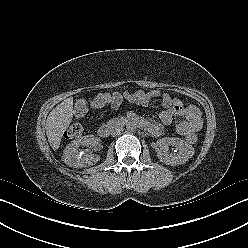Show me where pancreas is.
<instances>
[{
  "mask_svg": "<svg viewBox=\"0 0 248 248\" xmlns=\"http://www.w3.org/2000/svg\"><path fill=\"white\" fill-rule=\"evenodd\" d=\"M123 120V117H120V118H113L111 120H109L108 122V125H112V124H115V123H119L120 121Z\"/></svg>",
  "mask_w": 248,
  "mask_h": 248,
  "instance_id": "1",
  "label": "pancreas"
}]
</instances>
